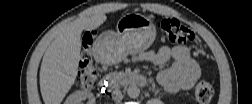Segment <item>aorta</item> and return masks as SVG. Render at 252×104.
I'll return each mask as SVG.
<instances>
[{"label":"aorta","instance_id":"1","mask_svg":"<svg viewBox=\"0 0 252 104\" xmlns=\"http://www.w3.org/2000/svg\"><path fill=\"white\" fill-rule=\"evenodd\" d=\"M127 95L130 98H137L140 95V89L136 85H131L127 88Z\"/></svg>","mask_w":252,"mask_h":104}]
</instances>
